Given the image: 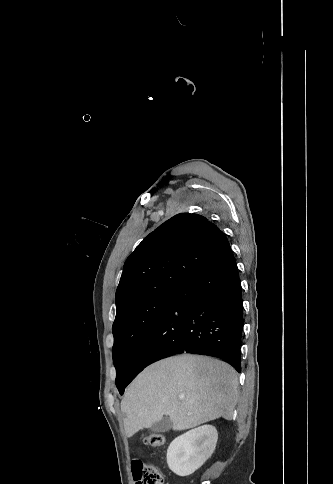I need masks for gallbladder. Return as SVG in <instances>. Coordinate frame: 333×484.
<instances>
[{
  "label": "gallbladder",
  "instance_id": "bac80fb5",
  "mask_svg": "<svg viewBox=\"0 0 333 484\" xmlns=\"http://www.w3.org/2000/svg\"><path fill=\"white\" fill-rule=\"evenodd\" d=\"M172 428V421L168 417L162 418L160 421L154 423L151 430L156 433H166Z\"/></svg>",
  "mask_w": 333,
  "mask_h": 484
}]
</instances>
